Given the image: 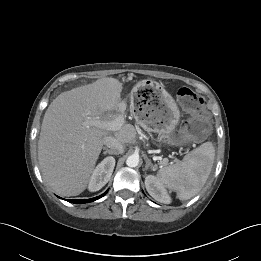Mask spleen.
<instances>
[{
  "label": "spleen",
  "mask_w": 261,
  "mask_h": 261,
  "mask_svg": "<svg viewBox=\"0 0 261 261\" xmlns=\"http://www.w3.org/2000/svg\"><path fill=\"white\" fill-rule=\"evenodd\" d=\"M214 158L212 142H205L185 155L181 162L160 169L157 178L166 188L175 191L180 200H188L206 183Z\"/></svg>",
  "instance_id": "spleen-1"
}]
</instances>
